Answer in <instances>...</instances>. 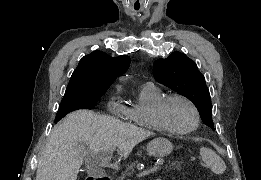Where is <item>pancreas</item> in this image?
<instances>
[{
	"mask_svg": "<svg viewBox=\"0 0 261 180\" xmlns=\"http://www.w3.org/2000/svg\"><path fill=\"white\" fill-rule=\"evenodd\" d=\"M139 163L138 159H133V162H130L127 166V169H123L119 172L120 180H125L126 176H131V174L134 173V169L136 164ZM167 165H165V170H181L183 167V162H181V159H167L166 160Z\"/></svg>",
	"mask_w": 261,
	"mask_h": 180,
	"instance_id": "cf45deb5",
	"label": "pancreas"
}]
</instances>
